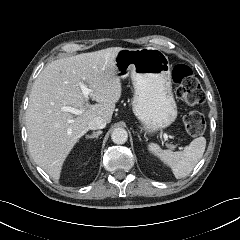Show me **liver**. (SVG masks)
Masks as SVG:
<instances>
[{"instance_id": "1", "label": "liver", "mask_w": 240, "mask_h": 240, "mask_svg": "<svg viewBox=\"0 0 240 240\" xmlns=\"http://www.w3.org/2000/svg\"><path fill=\"white\" fill-rule=\"evenodd\" d=\"M111 47L61 58L49 63L35 80L26 110L28 147L36 164L58 181L62 166L90 120L100 116L110 123L121 97L120 77L115 69L116 54ZM80 83L93 90L89 105ZM70 106L82 111L74 116L62 111Z\"/></svg>"}]
</instances>
